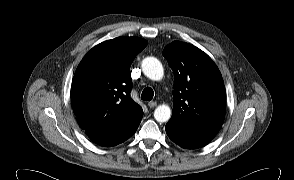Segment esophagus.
I'll return each instance as SVG.
<instances>
[{
    "instance_id": "obj_1",
    "label": "esophagus",
    "mask_w": 294,
    "mask_h": 180,
    "mask_svg": "<svg viewBox=\"0 0 294 180\" xmlns=\"http://www.w3.org/2000/svg\"><path fill=\"white\" fill-rule=\"evenodd\" d=\"M147 105H148V107H150V108H154V107L157 105V103H156L155 101H151V102H149Z\"/></svg>"
}]
</instances>
